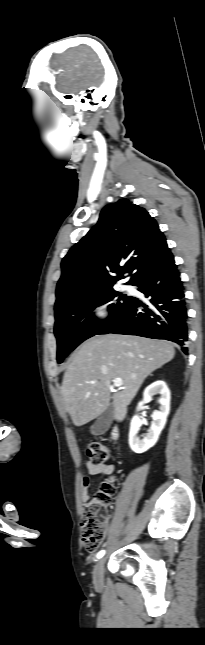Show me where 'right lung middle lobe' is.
Segmentation results:
<instances>
[{
	"instance_id": "obj_1",
	"label": "right lung middle lobe",
	"mask_w": 205,
	"mask_h": 645,
	"mask_svg": "<svg viewBox=\"0 0 205 645\" xmlns=\"http://www.w3.org/2000/svg\"><path fill=\"white\" fill-rule=\"evenodd\" d=\"M116 297H119L115 300ZM132 297L124 296L113 288L79 298L71 306L55 314L54 333L57 338V361L63 359L84 340L101 334L112 326L130 303ZM111 302L109 318L98 322L92 311L95 307Z\"/></svg>"
}]
</instances>
